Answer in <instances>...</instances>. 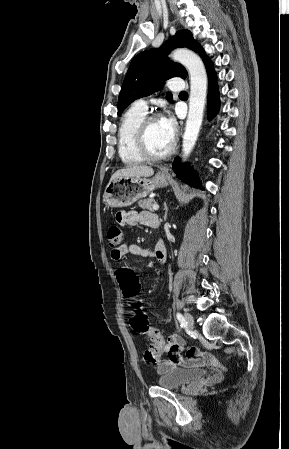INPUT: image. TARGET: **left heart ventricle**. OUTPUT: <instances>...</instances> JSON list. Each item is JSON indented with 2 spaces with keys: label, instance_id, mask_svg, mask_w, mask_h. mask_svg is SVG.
Wrapping results in <instances>:
<instances>
[{
  "label": "left heart ventricle",
  "instance_id": "1",
  "mask_svg": "<svg viewBox=\"0 0 289 449\" xmlns=\"http://www.w3.org/2000/svg\"><path fill=\"white\" fill-rule=\"evenodd\" d=\"M172 142L173 137L164 127L162 120L151 123L147 132V145L153 154L165 153L171 147Z\"/></svg>",
  "mask_w": 289,
  "mask_h": 449
}]
</instances>
